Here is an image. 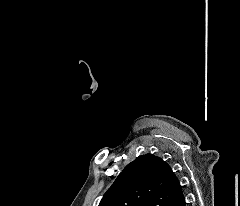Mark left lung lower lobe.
<instances>
[{
	"label": "left lung lower lobe",
	"mask_w": 240,
	"mask_h": 206,
	"mask_svg": "<svg viewBox=\"0 0 240 206\" xmlns=\"http://www.w3.org/2000/svg\"><path fill=\"white\" fill-rule=\"evenodd\" d=\"M169 206H187L182 187Z\"/></svg>",
	"instance_id": "obj_1"
}]
</instances>
